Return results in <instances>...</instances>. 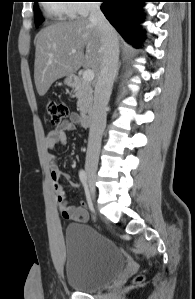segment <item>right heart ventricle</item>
<instances>
[{
    "instance_id": "1",
    "label": "right heart ventricle",
    "mask_w": 195,
    "mask_h": 299,
    "mask_svg": "<svg viewBox=\"0 0 195 299\" xmlns=\"http://www.w3.org/2000/svg\"><path fill=\"white\" fill-rule=\"evenodd\" d=\"M47 10L56 19H64L73 15L70 3H50L47 5Z\"/></svg>"
}]
</instances>
